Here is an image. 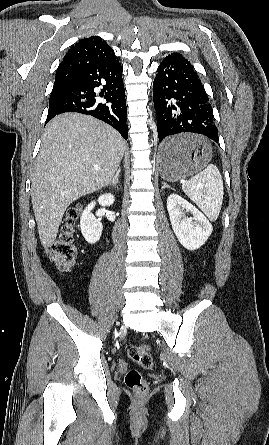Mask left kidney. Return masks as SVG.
I'll return each instance as SVG.
<instances>
[{
  "mask_svg": "<svg viewBox=\"0 0 269 445\" xmlns=\"http://www.w3.org/2000/svg\"><path fill=\"white\" fill-rule=\"evenodd\" d=\"M173 231L183 247L196 250L207 241L213 228L207 218L191 203L177 194H171L167 199ZM191 213L192 217H187Z\"/></svg>",
  "mask_w": 269,
  "mask_h": 445,
  "instance_id": "left-kidney-1",
  "label": "left kidney"
}]
</instances>
